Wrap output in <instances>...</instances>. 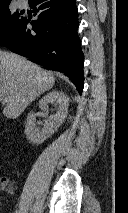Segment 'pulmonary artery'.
I'll use <instances>...</instances> for the list:
<instances>
[{
  "mask_svg": "<svg viewBox=\"0 0 128 213\" xmlns=\"http://www.w3.org/2000/svg\"><path fill=\"white\" fill-rule=\"evenodd\" d=\"M17 4L20 8H26L27 7V0H18Z\"/></svg>",
  "mask_w": 128,
  "mask_h": 213,
  "instance_id": "obj_1",
  "label": "pulmonary artery"
}]
</instances>
